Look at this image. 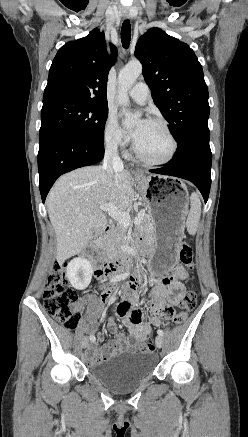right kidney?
I'll list each match as a JSON object with an SVG mask.
<instances>
[{
	"label": "right kidney",
	"mask_w": 248,
	"mask_h": 437,
	"mask_svg": "<svg viewBox=\"0 0 248 437\" xmlns=\"http://www.w3.org/2000/svg\"><path fill=\"white\" fill-rule=\"evenodd\" d=\"M66 276L71 285L77 290H84L92 279V267L85 258L72 259L66 269Z\"/></svg>",
	"instance_id": "right-kidney-1"
}]
</instances>
